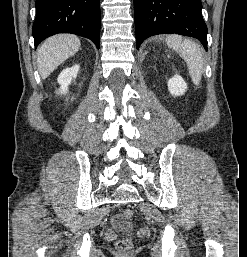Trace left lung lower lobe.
<instances>
[{"label": "left lung lower lobe", "mask_w": 247, "mask_h": 257, "mask_svg": "<svg viewBox=\"0 0 247 257\" xmlns=\"http://www.w3.org/2000/svg\"><path fill=\"white\" fill-rule=\"evenodd\" d=\"M201 0H134L136 47L148 37L176 33L197 38L207 50Z\"/></svg>", "instance_id": "1"}]
</instances>
